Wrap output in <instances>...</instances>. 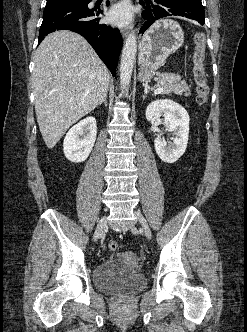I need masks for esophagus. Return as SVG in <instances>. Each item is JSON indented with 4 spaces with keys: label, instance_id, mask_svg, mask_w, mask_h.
I'll use <instances>...</instances> for the list:
<instances>
[{
    "label": "esophagus",
    "instance_id": "esophagus-1",
    "mask_svg": "<svg viewBox=\"0 0 247 332\" xmlns=\"http://www.w3.org/2000/svg\"><path fill=\"white\" fill-rule=\"evenodd\" d=\"M121 34H122L123 38H125L128 36L129 31L127 29H123V30H121Z\"/></svg>",
    "mask_w": 247,
    "mask_h": 332
}]
</instances>
